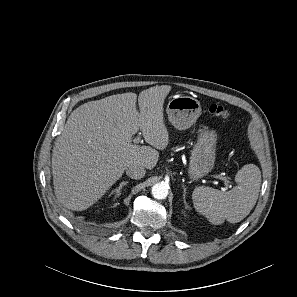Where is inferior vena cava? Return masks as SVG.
Listing matches in <instances>:
<instances>
[{
  "instance_id": "obj_1",
  "label": "inferior vena cava",
  "mask_w": 297,
  "mask_h": 297,
  "mask_svg": "<svg viewBox=\"0 0 297 297\" xmlns=\"http://www.w3.org/2000/svg\"><path fill=\"white\" fill-rule=\"evenodd\" d=\"M146 170L140 165H130L126 168V175L131 179H141L144 177Z\"/></svg>"
}]
</instances>
